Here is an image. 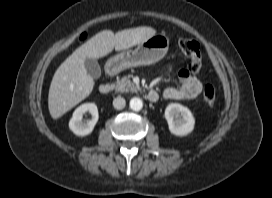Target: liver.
Segmentation results:
<instances>
[{"label":"liver","instance_id":"6515ba94","mask_svg":"<svg viewBox=\"0 0 272 198\" xmlns=\"http://www.w3.org/2000/svg\"><path fill=\"white\" fill-rule=\"evenodd\" d=\"M156 30L137 27L113 33L103 30L78 47L56 70L49 88L48 108L53 119H58L86 97L94 87L93 78L87 74L86 58L99 59L115 49H129L153 37Z\"/></svg>","mask_w":272,"mask_h":198}]
</instances>
